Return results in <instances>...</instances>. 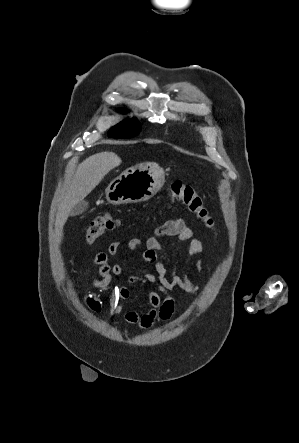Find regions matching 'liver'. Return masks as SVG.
I'll use <instances>...</instances> for the list:
<instances>
[{"label":"liver","mask_w":299,"mask_h":443,"mask_svg":"<svg viewBox=\"0 0 299 443\" xmlns=\"http://www.w3.org/2000/svg\"><path fill=\"white\" fill-rule=\"evenodd\" d=\"M121 158L114 152H100L86 158L77 167L69 187L60 202L55 220L56 242L63 237V227L72 207L82 201L109 173L121 164Z\"/></svg>","instance_id":"liver-1"}]
</instances>
